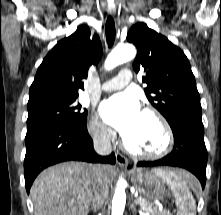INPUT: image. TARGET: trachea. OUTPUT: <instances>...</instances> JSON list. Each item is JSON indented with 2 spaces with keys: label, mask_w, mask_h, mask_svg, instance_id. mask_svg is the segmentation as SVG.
Wrapping results in <instances>:
<instances>
[{
  "label": "trachea",
  "mask_w": 221,
  "mask_h": 215,
  "mask_svg": "<svg viewBox=\"0 0 221 215\" xmlns=\"http://www.w3.org/2000/svg\"><path fill=\"white\" fill-rule=\"evenodd\" d=\"M105 31H106L108 47H112V45L114 44V40H115L116 30H115L114 19L111 16H109L106 21Z\"/></svg>",
  "instance_id": "1"
}]
</instances>
